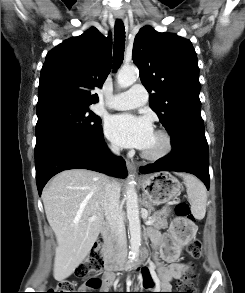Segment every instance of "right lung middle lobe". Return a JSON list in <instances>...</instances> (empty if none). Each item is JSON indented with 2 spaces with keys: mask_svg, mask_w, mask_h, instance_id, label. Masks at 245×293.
<instances>
[{
  "mask_svg": "<svg viewBox=\"0 0 245 293\" xmlns=\"http://www.w3.org/2000/svg\"><path fill=\"white\" fill-rule=\"evenodd\" d=\"M35 156L50 144L68 138L98 134L101 119L89 106L55 104L37 108Z\"/></svg>",
  "mask_w": 245,
  "mask_h": 293,
  "instance_id": "right-lung-middle-lobe-1",
  "label": "right lung middle lobe"
}]
</instances>
